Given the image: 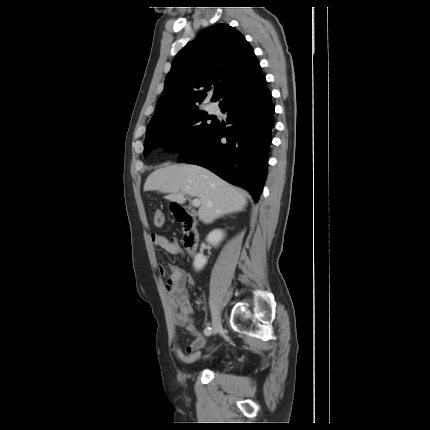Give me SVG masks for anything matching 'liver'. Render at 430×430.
I'll use <instances>...</instances> for the list:
<instances>
[{"mask_svg": "<svg viewBox=\"0 0 430 430\" xmlns=\"http://www.w3.org/2000/svg\"><path fill=\"white\" fill-rule=\"evenodd\" d=\"M144 191L169 193L165 198L183 204L185 196L200 200L199 219L212 223L216 218L241 211L246 200L238 189L210 170L189 164L166 165L152 172L144 184Z\"/></svg>", "mask_w": 430, "mask_h": 430, "instance_id": "obj_1", "label": "liver"}]
</instances>
